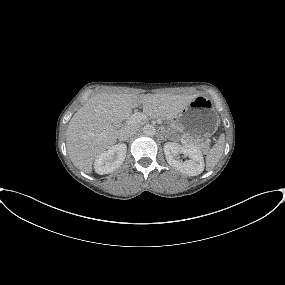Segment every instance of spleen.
<instances>
[{"label": "spleen", "mask_w": 285, "mask_h": 285, "mask_svg": "<svg viewBox=\"0 0 285 285\" xmlns=\"http://www.w3.org/2000/svg\"><path fill=\"white\" fill-rule=\"evenodd\" d=\"M225 136L221 134L216 144L212 147L206 156V169H213L219 162L224 151Z\"/></svg>", "instance_id": "1"}]
</instances>
